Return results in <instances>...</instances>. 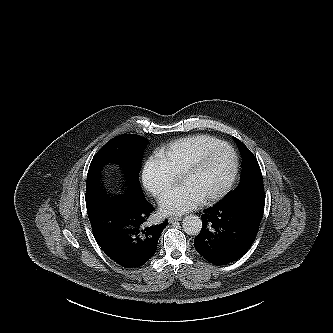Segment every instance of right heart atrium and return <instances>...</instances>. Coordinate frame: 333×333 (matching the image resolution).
<instances>
[{"label": "right heart atrium", "mask_w": 333, "mask_h": 333, "mask_svg": "<svg viewBox=\"0 0 333 333\" xmlns=\"http://www.w3.org/2000/svg\"><path fill=\"white\" fill-rule=\"evenodd\" d=\"M141 181L146 191L159 197L174 183L175 175L160 154H152L143 165Z\"/></svg>", "instance_id": "right-heart-atrium-1"}]
</instances>
